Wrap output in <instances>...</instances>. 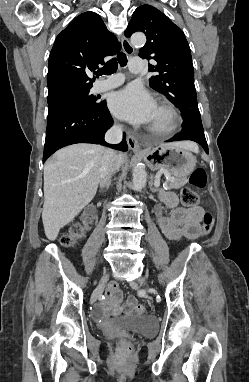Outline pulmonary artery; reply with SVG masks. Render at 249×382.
Wrapping results in <instances>:
<instances>
[{"mask_svg": "<svg viewBox=\"0 0 249 382\" xmlns=\"http://www.w3.org/2000/svg\"><path fill=\"white\" fill-rule=\"evenodd\" d=\"M144 68H145V64L142 58H138V57L131 58L129 62V70L131 72L137 73L144 70ZM123 81H124L123 76L121 74H117L115 76L98 81L96 84V90L99 92L109 90L121 85Z\"/></svg>", "mask_w": 249, "mask_h": 382, "instance_id": "1", "label": "pulmonary artery"}]
</instances>
